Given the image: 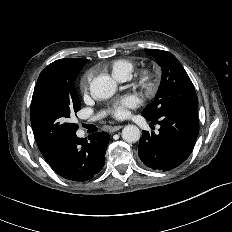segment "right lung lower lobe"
Returning a JSON list of instances; mask_svg holds the SVG:
<instances>
[{
  "instance_id": "right-lung-lower-lobe-1",
  "label": "right lung lower lobe",
  "mask_w": 232,
  "mask_h": 232,
  "mask_svg": "<svg viewBox=\"0 0 232 232\" xmlns=\"http://www.w3.org/2000/svg\"><path fill=\"white\" fill-rule=\"evenodd\" d=\"M109 140L110 136L106 132L90 135L89 141L74 134L57 145L47 162L63 178L89 180L103 168Z\"/></svg>"
}]
</instances>
